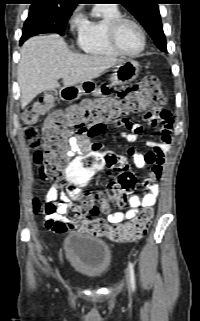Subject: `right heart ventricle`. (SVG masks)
I'll return each instance as SVG.
<instances>
[{
	"label": "right heart ventricle",
	"mask_w": 200,
	"mask_h": 321,
	"mask_svg": "<svg viewBox=\"0 0 200 321\" xmlns=\"http://www.w3.org/2000/svg\"><path fill=\"white\" fill-rule=\"evenodd\" d=\"M99 16L85 19V24L78 33L79 48L87 54L115 58L119 57L108 41L107 31L112 20L122 16L116 5L101 4L94 8Z\"/></svg>",
	"instance_id": "obj_1"
}]
</instances>
